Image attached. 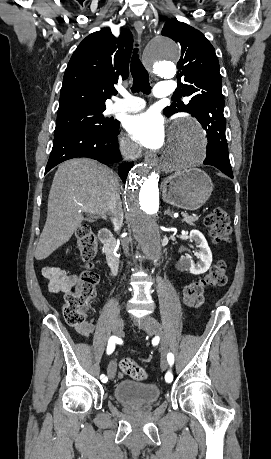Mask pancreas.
<instances>
[{"label": "pancreas", "instance_id": "cf45deb5", "mask_svg": "<svg viewBox=\"0 0 271 459\" xmlns=\"http://www.w3.org/2000/svg\"><path fill=\"white\" fill-rule=\"evenodd\" d=\"M183 218L184 222H187V224H190V226H194L193 222H196V220H198V218H193V216L184 217L183 215Z\"/></svg>", "mask_w": 271, "mask_h": 459}]
</instances>
